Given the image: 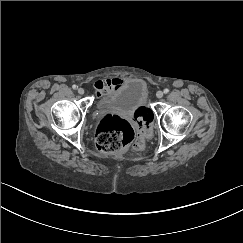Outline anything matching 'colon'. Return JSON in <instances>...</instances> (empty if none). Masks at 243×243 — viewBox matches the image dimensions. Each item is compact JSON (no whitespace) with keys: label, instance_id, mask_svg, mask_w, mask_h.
<instances>
[{"label":"colon","instance_id":"1","mask_svg":"<svg viewBox=\"0 0 243 243\" xmlns=\"http://www.w3.org/2000/svg\"><path fill=\"white\" fill-rule=\"evenodd\" d=\"M143 121L140 125L136 141L135 132L131 124L116 114L105 113L98 120L96 146L99 151L107 154L117 153L133 145L140 149L144 140L150 134L151 113L142 111Z\"/></svg>","mask_w":243,"mask_h":243}]
</instances>
